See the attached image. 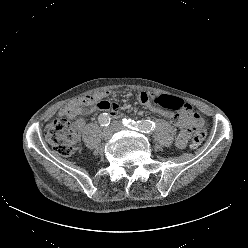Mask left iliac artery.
Returning <instances> with one entry per match:
<instances>
[{
  "instance_id": "obj_1",
  "label": "left iliac artery",
  "mask_w": 248,
  "mask_h": 248,
  "mask_svg": "<svg viewBox=\"0 0 248 248\" xmlns=\"http://www.w3.org/2000/svg\"><path fill=\"white\" fill-rule=\"evenodd\" d=\"M122 123L124 124V126L130 129L141 131L144 133H150L155 130V123L150 120L135 122L134 120L124 118L122 119Z\"/></svg>"
}]
</instances>
